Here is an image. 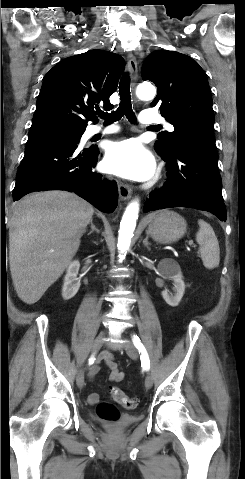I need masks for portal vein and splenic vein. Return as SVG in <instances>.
Here are the masks:
<instances>
[{"label":"portal vein and splenic vein","instance_id":"18ae733b","mask_svg":"<svg viewBox=\"0 0 245 479\" xmlns=\"http://www.w3.org/2000/svg\"><path fill=\"white\" fill-rule=\"evenodd\" d=\"M188 245H189V246H192V245H193V242H192V241H189Z\"/></svg>","mask_w":245,"mask_h":479}]
</instances>
